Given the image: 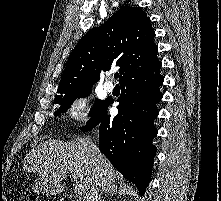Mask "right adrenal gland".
<instances>
[{
    "instance_id": "obj_1",
    "label": "right adrenal gland",
    "mask_w": 221,
    "mask_h": 201,
    "mask_svg": "<svg viewBox=\"0 0 221 201\" xmlns=\"http://www.w3.org/2000/svg\"><path fill=\"white\" fill-rule=\"evenodd\" d=\"M104 193H108L111 196L115 195L117 193V187H104L102 188L99 197H98V201H102V195Z\"/></svg>"
}]
</instances>
